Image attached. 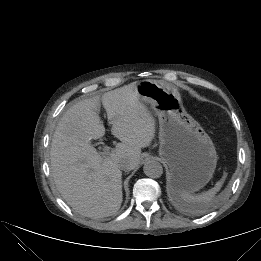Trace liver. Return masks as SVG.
I'll return each mask as SVG.
<instances>
[{
    "mask_svg": "<svg viewBox=\"0 0 261 261\" xmlns=\"http://www.w3.org/2000/svg\"><path fill=\"white\" fill-rule=\"evenodd\" d=\"M133 82L106 92L102 97L79 101L59 121L53 135L50 159L56 187L66 202L87 217H107L122 203V172L119 163L134 169L141 148L155 136V120L142 103ZM102 103L111 132L118 143L108 157H101L90 144L105 134L98 111Z\"/></svg>",
    "mask_w": 261,
    "mask_h": 261,
    "instance_id": "6515ba94",
    "label": "liver"
}]
</instances>
